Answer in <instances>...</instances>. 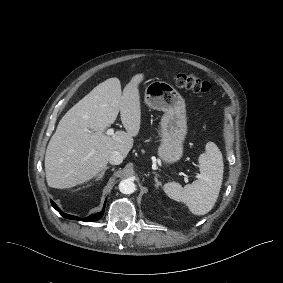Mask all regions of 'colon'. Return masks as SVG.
<instances>
[{
  "instance_id": "1",
  "label": "colon",
  "mask_w": 283,
  "mask_h": 283,
  "mask_svg": "<svg viewBox=\"0 0 283 283\" xmlns=\"http://www.w3.org/2000/svg\"><path fill=\"white\" fill-rule=\"evenodd\" d=\"M177 87L196 93H206L210 90V84L192 73H179L174 76Z\"/></svg>"
}]
</instances>
